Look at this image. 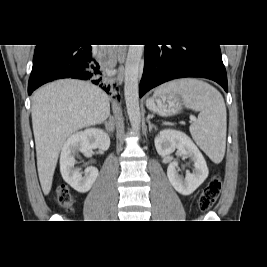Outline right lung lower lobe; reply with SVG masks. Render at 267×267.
Here are the masks:
<instances>
[{
    "label": "right lung lower lobe",
    "mask_w": 267,
    "mask_h": 267,
    "mask_svg": "<svg viewBox=\"0 0 267 267\" xmlns=\"http://www.w3.org/2000/svg\"><path fill=\"white\" fill-rule=\"evenodd\" d=\"M62 78L89 80L109 94L117 89L107 80L103 56L90 45H36L28 94L47 82Z\"/></svg>",
    "instance_id": "right-lung-lower-lobe-1"
}]
</instances>
